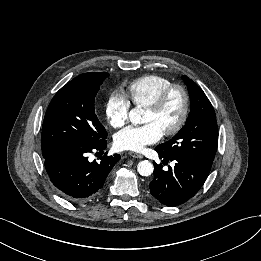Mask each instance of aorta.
<instances>
[{
    "instance_id": "762f6f07",
    "label": "aorta",
    "mask_w": 261,
    "mask_h": 261,
    "mask_svg": "<svg viewBox=\"0 0 261 261\" xmlns=\"http://www.w3.org/2000/svg\"><path fill=\"white\" fill-rule=\"evenodd\" d=\"M129 118L132 123H139L141 119L140 110L132 109L129 113ZM138 173L141 176H150L153 173L154 167L153 164L148 160L140 161L137 165Z\"/></svg>"
}]
</instances>
